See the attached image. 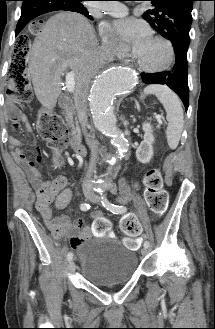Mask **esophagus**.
I'll use <instances>...</instances> for the list:
<instances>
[{
    "mask_svg": "<svg viewBox=\"0 0 215 329\" xmlns=\"http://www.w3.org/2000/svg\"><path fill=\"white\" fill-rule=\"evenodd\" d=\"M124 64H129L128 60L123 61Z\"/></svg>",
    "mask_w": 215,
    "mask_h": 329,
    "instance_id": "1",
    "label": "esophagus"
}]
</instances>
